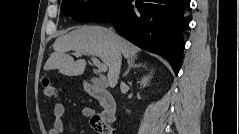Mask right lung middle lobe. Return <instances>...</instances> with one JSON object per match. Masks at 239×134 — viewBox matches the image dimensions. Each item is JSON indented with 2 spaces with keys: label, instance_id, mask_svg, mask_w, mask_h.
Returning a JSON list of instances; mask_svg holds the SVG:
<instances>
[{
  "label": "right lung middle lobe",
  "instance_id": "1",
  "mask_svg": "<svg viewBox=\"0 0 239 134\" xmlns=\"http://www.w3.org/2000/svg\"><path fill=\"white\" fill-rule=\"evenodd\" d=\"M120 0H63L62 12L78 22H90L112 9Z\"/></svg>",
  "mask_w": 239,
  "mask_h": 134
}]
</instances>
